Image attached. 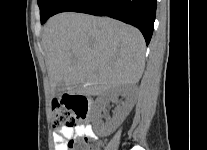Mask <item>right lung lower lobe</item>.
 I'll list each match as a JSON object with an SVG mask.
<instances>
[{"mask_svg":"<svg viewBox=\"0 0 207 150\" xmlns=\"http://www.w3.org/2000/svg\"><path fill=\"white\" fill-rule=\"evenodd\" d=\"M156 5V0H63L54 15L75 11L112 17L137 27L148 45L153 33Z\"/></svg>","mask_w":207,"mask_h":150,"instance_id":"1","label":"right lung lower lobe"}]
</instances>
